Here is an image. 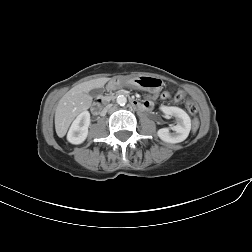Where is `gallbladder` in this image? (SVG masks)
I'll return each instance as SVG.
<instances>
[{
	"label": "gallbladder",
	"mask_w": 252,
	"mask_h": 252,
	"mask_svg": "<svg viewBox=\"0 0 252 252\" xmlns=\"http://www.w3.org/2000/svg\"><path fill=\"white\" fill-rule=\"evenodd\" d=\"M104 89L103 88H96L93 89L89 92V95L91 97H97L98 95H101L103 93Z\"/></svg>",
	"instance_id": "gallbladder-1"
}]
</instances>
